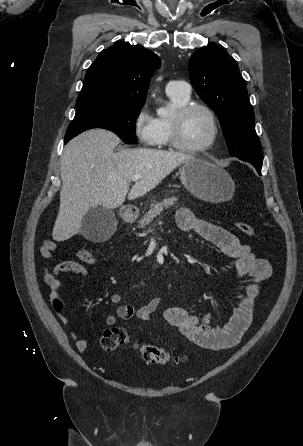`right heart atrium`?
<instances>
[{
	"mask_svg": "<svg viewBox=\"0 0 303 446\" xmlns=\"http://www.w3.org/2000/svg\"><path fill=\"white\" fill-rule=\"evenodd\" d=\"M134 133L138 141L144 145H152L157 136L156 119L151 115L147 105L137 112L133 122Z\"/></svg>",
	"mask_w": 303,
	"mask_h": 446,
	"instance_id": "right-heart-atrium-1",
	"label": "right heart atrium"
}]
</instances>
